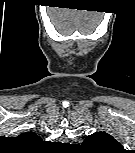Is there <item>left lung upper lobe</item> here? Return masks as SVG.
Wrapping results in <instances>:
<instances>
[{"label":"left lung upper lobe","mask_w":135,"mask_h":153,"mask_svg":"<svg viewBox=\"0 0 135 153\" xmlns=\"http://www.w3.org/2000/svg\"><path fill=\"white\" fill-rule=\"evenodd\" d=\"M82 145L87 149L102 153L122 150V146L105 132H95L89 135Z\"/></svg>","instance_id":"obj_1"}]
</instances>
